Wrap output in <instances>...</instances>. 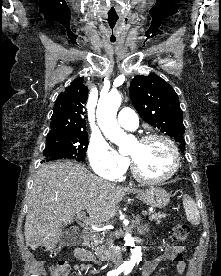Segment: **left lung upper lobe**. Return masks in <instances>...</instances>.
I'll return each mask as SVG.
<instances>
[{
	"mask_svg": "<svg viewBox=\"0 0 221 276\" xmlns=\"http://www.w3.org/2000/svg\"><path fill=\"white\" fill-rule=\"evenodd\" d=\"M130 97L140 117L173 137L183 152V112L174 89L156 74L138 75L130 84Z\"/></svg>",
	"mask_w": 221,
	"mask_h": 276,
	"instance_id": "obj_1",
	"label": "left lung upper lobe"
}]
</instances>
